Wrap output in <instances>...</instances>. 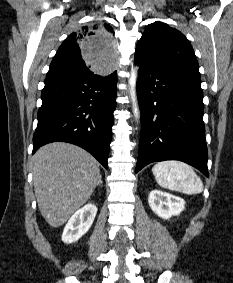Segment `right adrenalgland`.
Returning a JSON list of instances; mask_svg holds the SVG:
<instances>
[{"label": "right adrenal gland", "mask_w": 233, "mask_h": 283, "mask_svg": "<svg viewBox=\"0 0 233 283\" xmlns=\"http://www.w3.org/2000/svg\"><path fill=\"white\" fill-rule=\"evenodd\" d=\"M99 184L102 185V177L101 176L99 177Z\"/></svg>", "instance_id": "2a0ac1e0"}]
</instances>
